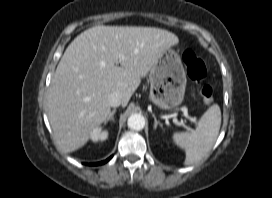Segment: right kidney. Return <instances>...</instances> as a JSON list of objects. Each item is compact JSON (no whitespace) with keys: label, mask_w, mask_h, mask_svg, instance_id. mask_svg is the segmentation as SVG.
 Listing matches in <instances>:
<instances>
[{"label":"right kidney","mask_w":272,"mask_h":198,"mask_svg":"<svg viewBox=\"0 0 272 198\" xmlns=\"http://www.w3.org/2000/svg\"><path fill=\"white\" fill-rule=\"evenodd\" d=\"M90 138L94 142L98 141H104L108 138V131L107 130H102V128H96L92 133Z\"/></svg>","instance_id":"ca27d5eb"}]
</instances>
